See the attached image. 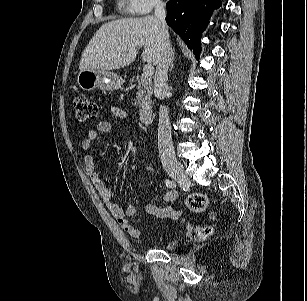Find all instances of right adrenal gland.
Masks as SVG:
<instances>
[{"label":"right adrenal gland","instance_id":"2a0ac1e0","mask_svg":"<svg viewBox=\"0 0 307 301\" xmlns=\"http://www.w3.org/2000/svg\"><path fill=\"white\" fill-rule=\"evenodd\" d=\"M173 67H174V52L172 50V61H171L170 71L173 69Z\"/></svg>","mask_w":307,"mask_h":301}]
</instances>
